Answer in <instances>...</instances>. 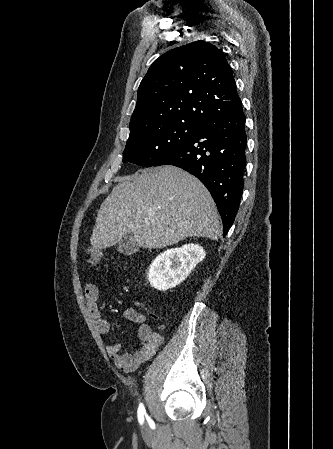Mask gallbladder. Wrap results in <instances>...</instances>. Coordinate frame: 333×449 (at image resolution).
Instances as JSON below:
<instances>
[{
	"instance_id": "1",
	"label": "gallbladder",
	"mask_w": 333,
	"mask_h": 449,
	"mask_svg": "<svg viewBox=\"0 0 333 449\" xmlns=\"http://www.w3.org/2000/svg\"><path fill=\"white\" fill-rule=\"evenodd\" d=\"M139 247L132 236L124 237L117 246V250L125 255H131L138 251Z\"/></svg>"
}]
</instances>
